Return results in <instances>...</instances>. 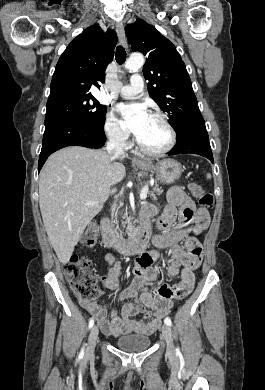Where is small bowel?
<instances>
[{"mask_svg":"<svg viewBox=\"0 0 265 390\" xmlns=\"http://www.w3.org/2000/svg\"><path fill=\"white\" fill-rule=\"evenodd\" d=\"M168 204L162 209L148 205L141 211V217L149 220L158 215L157 227L160 231L152 242L156 249L141 254L134 266V280L129 287L116 293L119 287L120 263L113 254H106L104 262L107 270L101 275L103 287L111 292L110 319L107 309L95 302H82L83 308L93 315L102 331L111 336L129 333L149 334L167 316L175 300L186 297L193 289L194 270L202 261V246L196 235L205 230L209 223V213L197 208L194 201L179 187L169 190ZM179 216V223L176 219ZM181 243L184 246H181ZM169 249L172 261L167 271L171 276L180 275V282L169 285L158 280L153 263L162 259V250ZM129 300L118 314L117 303ZM143 314L140 320L133 316Z\"/></svg>","mask_w":265,"mask_h":390,"instance_id":"1","label":"small bowel"}]
</instances>
